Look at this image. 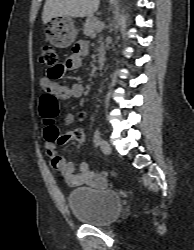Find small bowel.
<instances>
[{
	"instance_id": "c3829d8e",
	"label": "small bowel",
	"mask_w": 194,
	"mask_h": 250,
	"mask_svg": "<svg viewBox=\"0 0 194 250\" xmlns=\"http://www.w3.org/2000/svg\"><path fill=\"white\" fill-rule=\"evenodd\" d=\"M89 52V46L86 42H79L71 56H69L64 64L58 65L59 76H61L67 70L77 69L82 65V58ZM44 89L50 91L56 99L60 101H68L73 98H79L83 94V85L81 83L75 82L69 86L55 83L51 80V77H44L41 81ZM82 115L74 116L67 115L65 121L67 124H72L76 118H81ZM56 118V117H55ZM54 119L43 117L45 128H44V139H45V149L50 158L52 167L57 170L66 180L70 186H81L92 181L93 176L89 170V166L86 162L80 165V172H74V166L71 162L67 161L63 156L57 153L55 149V144H65L72 139H70L67 134L61 135L58 128L54 125ZM83 134V140H85V135Z\"/></svg>"
}]
</instances>
